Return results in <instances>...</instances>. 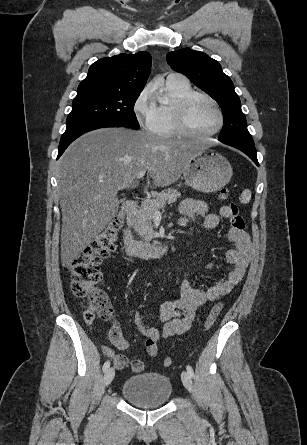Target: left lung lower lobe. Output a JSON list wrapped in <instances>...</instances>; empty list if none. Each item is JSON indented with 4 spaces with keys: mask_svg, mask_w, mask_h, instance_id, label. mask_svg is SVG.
Listing matches in <instances>:
<instances>
[{
    "mask_svg": "<svg viewBox=\"0 0 307 445\" xmlns=\"http://www.w3.org/2000/svg\"><path fill=\"white\" fill-rule=\"evenodd\" d=\"M219 141L241 150L247 156H249L256 165L259 166L256 155V149L254 147V142L251 143V142H240V141H229V140H219Z\"/></svg>",
    "mask_w": 307,
    "mask_h": 445,
    "instance_id": "obj_1",
    "label": "left lung lower lobe"
}]
</instances>
